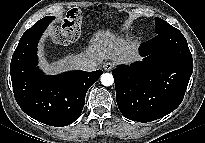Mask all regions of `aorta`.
I'll return each instance as SVG.
<instances>
[{"label":"aorta","instance_id":"762f6f07","mask_svg":"<svg viewBox=\"0 0 205 143\" xmlns=\"http://www.w3.org/2000/svg\"><path fill=\"white\" fill-rule=\"evenodd\" d=\"M101 83L104 86H111L114 83V77L110 73H104L101 76Z\"/></svg>","mask_w":205,"mask_h":143}]
</instances>
